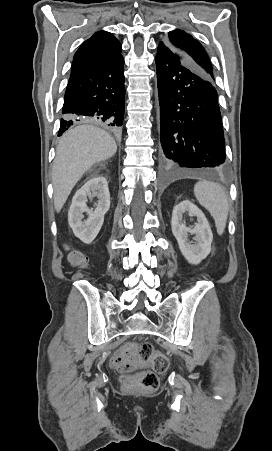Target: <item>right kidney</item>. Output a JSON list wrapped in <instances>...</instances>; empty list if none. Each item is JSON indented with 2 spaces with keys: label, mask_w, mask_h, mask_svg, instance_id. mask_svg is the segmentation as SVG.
<instances>
[{
  "label": "right kidney",
  "mask_w": 272,
  "mask_h": 451,
  "mask_svg": "<svg viewBox=\"0 0 272 451\" xmlns=\"http://www.w3.org/2000/svg\"><path fill=\"white\" fill-rule=\"evenodd\" d=\"M87 198H98L94 212L87 208ZM109 208L110 194L106 178L103 176L92 178L73 196L68 212L69 226L81 241L91 243L99 233L104 222V214L108 212ZM84 212L88 216L87 220H83Z\"/></svg>",
  "instance_id": "ca27d5eb"
}]
</instances>
